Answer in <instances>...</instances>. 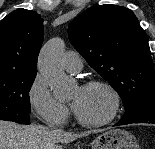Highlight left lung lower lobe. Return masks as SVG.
I'll return each instance as SVG.
<instances>
[{"label":"left lung lower lobe","instance_id":"0a47b994","mask_svg":"<svg viewBox=\"0 0 155 149\" xmlns=\"http://www.w3.org/2000/svg\"><path fill=\"white\" fill-rule=\"evenodd\" d=\"M132 123L155 124V97L150 98L140 108L130 112H125V114L122 116L121 120L116 124V126Z\"/></svg>","mask_w":155,"mask_h":149}]
</instances>
